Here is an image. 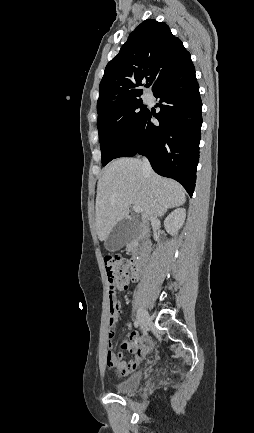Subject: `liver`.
Segmentation results:
<instances>
[{
  "mask_svg": "<svg viewBox=\"0 0 254 433\" xmlns=\"http://www.w3.org/2000/svg\"><path fill=\"white\" fill-rule=\"evenodd\" d=\"M186 201L183 187L174 180L146 171L137 158H120L109 164L98 181L95 227L100 241L129 215L131 205L139 206L144 223L164 215L169 208Z\"/></svg>",
  "mask_w": 254,
  "mask_h": 433,
  "instance_id": "1",
  "label": "liver"
}]
</instances>
